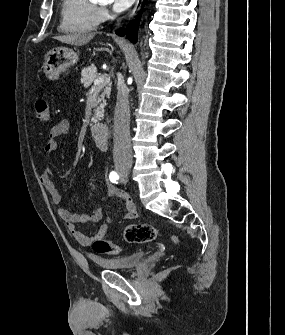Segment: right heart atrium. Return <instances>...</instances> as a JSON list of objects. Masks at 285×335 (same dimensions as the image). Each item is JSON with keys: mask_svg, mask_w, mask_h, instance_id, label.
<instances>
[{"mask_svg": "<svg viewBox=\"0 0 285 335\" xmlns=\"http://www.w3.org/2000/svg\"><path fill=\"white\" fill-rule=\"evenodd\" d=\"M108 7L106 5L105 2L101 1L95 11H94V16L97 20L98 23H103L104 21H106L107 17H108Z\"/></svg>", "mask_w": 285, "mask_h": 335, "instance_id": "right-heart-atrium-1", "label": "right heart atrium"}]
</instances>
